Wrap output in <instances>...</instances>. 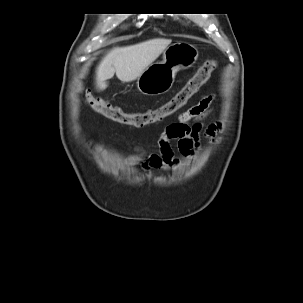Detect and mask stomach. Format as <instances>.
<instances>
[{"instance_id": "stomach-1", "label": "stomach", "mask_w": 303, "mask_h": 303, "mask_svg": "<svg viewBox=\"0 0 303 303\" xmlns=\"http://www.w3.org/2000/svg\"><path fill=\"white\" fill-rule=\"evenodd\" d=\"M198 58L197 48L179 41L169 45L163 52L161 62L149 65L138 77V90L148 96L168 92L179 69L191 67Z\"/></svg>"}]
</instances>
